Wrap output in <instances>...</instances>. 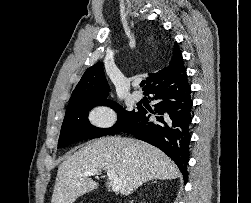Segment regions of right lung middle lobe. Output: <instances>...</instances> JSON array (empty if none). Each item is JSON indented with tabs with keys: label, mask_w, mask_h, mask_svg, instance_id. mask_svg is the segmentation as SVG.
Returning a JSON list of instances; mask_svg holds the SVG:
<instances>
[{
	"label": "right lung middle lobe",
	"mask_w": 251,
	"mask_h": 203,
	"mask_svg": "<svg viewBox=\"0 0 251 203\" xmlns=\"http://www.w3.org/2000/svg\"><path fill=\"white\" fill-rule=\"evenodd\" d=\"M108 105L118 113V120L114 126L107 129L97 128L90 124L87 116L95 105ZM137 112L126 111L120 105L107 99L84 101L69 104L62 124L58 147H65L79 140L98 138L117 134Z\"/></svg>",
	"instance_id": "1"
}]
</instances>
